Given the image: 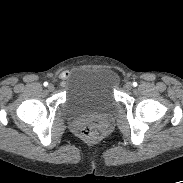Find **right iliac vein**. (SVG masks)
<instances>
[{
  "label": "right iliac vein",
  "instance_id": "obj_1",
  "mask_svg": "<svg viewBox=\"0 0 183 183\" xmlns=\"http://www.w3.org/2000/svg\"><path fill=\"white\" fill-rule=\"evenodd\" d=\"M55 89L54 85L53 84H49L48 85V90L49 91H53Z\"/></svg>",
  "mask_w": 183,
  "mask_h": 183
}]
</instances>
